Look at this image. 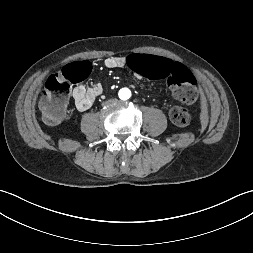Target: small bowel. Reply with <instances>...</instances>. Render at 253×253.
Segmentation results:
<instances>
[{"mask_svg":"<svg viewBox=\"0 0 253 253\" xmlns=\"http://www.w3.org/2000/svg\"><path fill=\"white\" fill-rule=\"evenodd\" d=\"M128 57V56H127ZM127 57L111 56L105 59L104 65L110 69H119L126 67ZM103 89L100 84H95L91 87L79 85L74 88L72 97L74 99L76 108L79 111L88 110L96 98L101 95Z\"/></svg>","mask_w":253,"mask_h":253,"instance_id":"small-bowel-1","label":"small bowel"}]
</instances>
